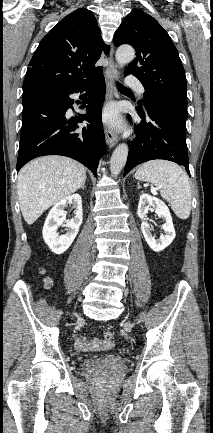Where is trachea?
Listing matches in <instances>:
<instances>
[{
	"label": "trachea",
	"instance_id": "3493384b",
	"mask_svg": "<svg viewBox=\"0 0 213 433\" xmlns=\"http://www.w3.org/2000/svg\"><path fill=\"white\" fill-rule=\"evenodd\" d=\"M118 88L119 89H127L126 87H124L123 85L118 84Z\"/></svg>",
	"mask_w": 213,
	"mask_h": 433
}]
</instances>
